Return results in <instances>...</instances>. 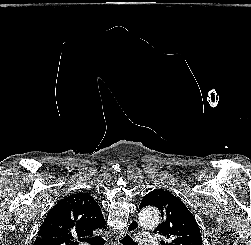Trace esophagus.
Listing matches in <instances>:
<instances>
[{
	"instance_id": "obj_1",
	"label": "esophagus",
	"mask_w": 251,
	"mask_h": 245,
	"mask_svg": "<svg viewBox=\"0 0 251 245\" xmlns=\"http://www.w3.org/2000/svg\"><path fill=\"white\" fill-rule=\"evenodd\" d=\"M140 228V224L136 219H131L126 227V232L134 233ZM124 236V233H119L116 235L115 239L118 242ZM117 245V244H116Z\"/></svg>"
}]
</instances>
